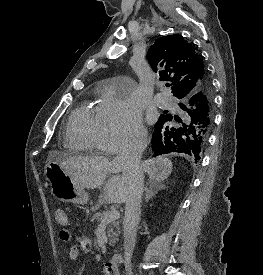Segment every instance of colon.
I'll use <instances>...</instances> for the list:
<instances>
[{
	"mask_svg": "<svg viewBox=\"0 0 263 275\" xmlns=\"http://www.w3.org/2000/svg\"><path fill=\"white\" fill-rule=\"evenodd\" d=\"M55 219H56V222L61 226H66L68 224V215H67L66 211L62 208H60L56 211ZM61 232H62L61 233L62 237L65 240H68L69 239V232L67 231V229H63Z\"/></svg>",
	"mask_w": 263,
	"mask_h": 275,
	"instance_id": "1",
	"label": "colon"
}]
</instances>
